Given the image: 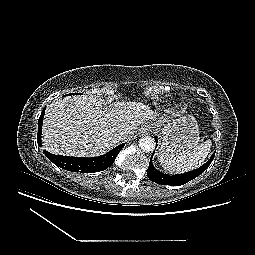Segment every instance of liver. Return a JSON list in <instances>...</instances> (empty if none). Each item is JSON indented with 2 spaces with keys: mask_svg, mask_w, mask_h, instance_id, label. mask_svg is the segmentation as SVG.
<instances>
[{
  "mask_svg": "<svg viewBox=\"0 0 255 255\" xmlns=\"http://www.w3.org/2000/svg\"><path fill=\"white\" fill-rule=\"evenodd\" d=\"M148 120H157L156 114L141 102H106L94 94L69 96L48 105L42 141L53 154L94 157L120 143L118 131H126L128 139Z\"/></svg>",
  "mask_w": 255,
  "mask_h": 255,
  "instance_id": "obj_1",
  "label": "liver"
}]
</instances>
